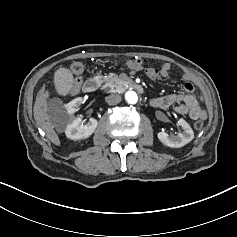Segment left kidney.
I'll use <instances>...</instances> for the list:
<instances>
[{"instance_id": "obj_1", "label": "left kidney", "mask_w": 237, "mask_h": 237, "mask_svg": "<svg viewBox=\"0 0 237 237\" xmlns=\"http://www.w3.org/2000/svg\"><path fill=\"white\" fill-rule=\"evenodd\" d=\"M179 125L182 127L183 132L177 135H169L166 132H159L158 139L166 146L171 148L183 147L194 138V132L191 126L184 120L179 119Z\"/></svg>"}]
</instances>
